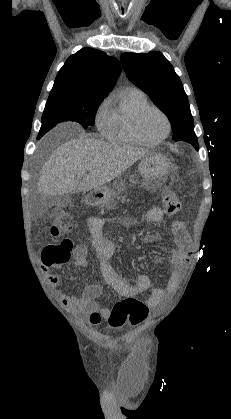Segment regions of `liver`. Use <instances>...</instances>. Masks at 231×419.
I'll return each mask as SVG.
<instances>
[{
    "label": "liver",
    "mask_w": 231,
    "mask_h": 419,
    "mask_svg": "<svg viewBox=\"0 0 231 419\" xmlns=\"http://www.w3.org/2000/svg\"><path fill=\"white\" fill-rule=\"evenodd\" d=\"M149 150L90 138L59 146L42 168L39 192L46 198L99 189L124 173ZM81 172L88 174L79 180Z\"/></svg>",
    "instance_id": "6515ba94"
}]
</instances>
